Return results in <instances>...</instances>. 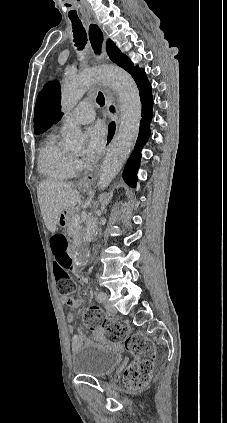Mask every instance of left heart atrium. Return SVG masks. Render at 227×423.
Listing matches in <instances>:
<instances>
[{
	"mask_svg": "<svg viewBox=\"0 0 227 423\" xmlns=\"http://www.w3.org/2000/svg\"><path fill=\"white\" fill-rule=\"evenodd\" d=\"M108 132L104 125L98 124L88 131V147L85 153L89 162H96L106 148Z\"/></svg>",
	"mask_w": 227,
	"mask_h": 423,
	"instance_id": "39dd6f15",
	"label": "left heart atrium"
}]
</instances>
